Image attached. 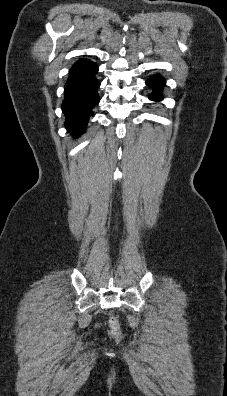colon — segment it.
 Wrapping results in <instances>:
<instances>
[{"mask_svg":"<svg viewBox=\"0 0 227 396\" xmlns=\"http://www.w3.org/2000/svg\"><path fill=\"white\" fill-rule=\"evenodd\" d=\"M109 327L110 333L112 337L116 340H120L122 338V332L120 328V322L117 315H111L109 318Z\"/></svg>","mask_w":227,"mask_h":396,"instance_id":"1","label":"colon"}]
</instances>
